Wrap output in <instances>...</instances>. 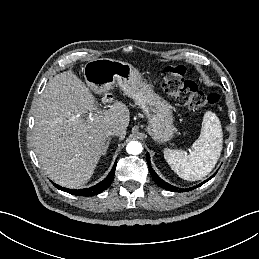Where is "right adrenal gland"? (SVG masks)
Instances as JSON below:
<instances>
[{"mask_svg": "<svg viewBox=\"0 0 259 259\" xmlns=\"http://www.w3.org/2000/svg\"><path fill=\"white\" fill-rule=\"evenodd\" d=\"M109 142H110V139L107 140V143H106V148L104 150V154L106 153L107 149H108V146H109Z\"/></svg>", "mask_w": 259, "mask_h": 259, "instance_id": "obj_1", "label": "right adrenal gland"}]
</instances>
